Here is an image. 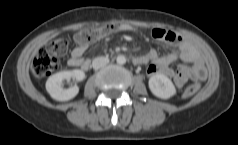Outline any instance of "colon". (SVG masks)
Segmentation results:
<instances>
[{
    "label": "colon",
    "mask_w": 238,
    "mask_h": 145,
    "mask_svg": "<svg viewBox=\"0 0 238 145\" xmlns=\"http://www.w3.org/2000/svg\"><path fill=\"white\" fill-rule=\"evenodd\" d=\"M115 28L114 25H106L99 28H86L77 32L74 36L78 46L87 47L99 40ZM68 50L66 39L58 38L51 41L45 48L41 49L35 56L32 70L37 78H46L58 69L60 58ZM199 89V84H191L184 90L185 97L193 96Z\"/></svg>",
    "instance_id": "1"
}]
</instances>
